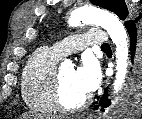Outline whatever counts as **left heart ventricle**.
Listing matches in <instances>:
<instances>
[{"mask_svg":"<svg viewBox=\"0 0 142 119\" xmlns=\"http://www.w3.org/2000/svg\"><path fill=\"white\" fill-rule=\"evenodd\" d=\"M60 77L61 96L64 104L73 106L87 97V95L83 94L75 85L73 68L68 67L61 70Z\"/></svg>","mask_w":142,"mask_h":119,"instance_id":"obj_1","label":"left heart ventricle"}]
</instances>
